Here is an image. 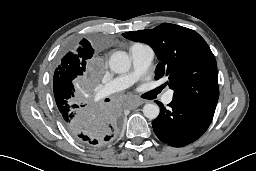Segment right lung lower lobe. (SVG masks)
Returning <instances> with one entry per match:
<instances>
[{"instance_id":"obj_1","label":"right lung lower lobe","mask_w":256,"mask_h":171,"mask_svg":"<svg viewBox=\"0 0 256 171\" xmlns=\"http://www.w3.org/2000/svg\"><path fill=\"white\" fill-rule=\"evenodd\" d=\"M71 124H64L69 132L87 146H103L114 140L121 126V115L115 104L89 100L72 105Z\"/></svg>"}]
</instances>
